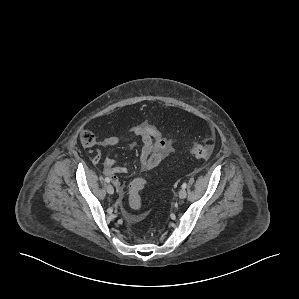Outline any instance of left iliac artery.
<instances>
[{
	"label": "left iliac artery",
	"instance_id": "44dca946",
	"mask_svg": "<svg viewBox=\"0 0 299 299\" xmlns=\"http://www.w3.org/2000/svg\"><path fill=\"white\" fill-rule=\"evenodd\" d=\"M187 187V184L186 183H183L182 184V189H185Z\"/></svg>",
	"mask_w": 299,
	"mask_h": 299
}]
</instances>
